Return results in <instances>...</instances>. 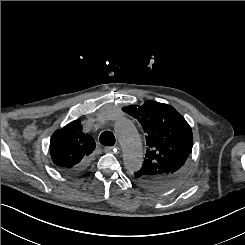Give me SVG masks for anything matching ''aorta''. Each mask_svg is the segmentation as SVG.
I'll return each mask as SVG.
<instances>
[{"instance_id": "aorta-1", "label": "aorta", "mask_w": 245, "mask_h": 245, "mask_svg": "<svg viewBox=\"0 0 245 245\" xmlns=\"http://www.w3.org/2000/svg\"><path fill=\"white\" fill-rule=\"evenodd\" d=\"M114 130L122 148L126 169L138 171L142 166L143 151L136 127L129 119L122 118L115 123Z\"/></svg>"}]
</instances>
